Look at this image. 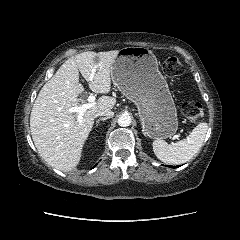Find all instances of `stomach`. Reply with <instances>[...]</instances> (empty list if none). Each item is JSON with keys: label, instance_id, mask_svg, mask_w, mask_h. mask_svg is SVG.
Here are the masks:
<instances>
[{"label": "stomach", "instance_id": "obj_1", "mask_svg": "<svg viewBox=\"0 0 240 240\" xmlns=\"http://www.w3.org/2000/svg\"><path fill=\"white\" fill-rule=\"evenodd\" d=\"M111 79L122 94L136 104L145 135L163 139L176 133V107L151 50L122 48L112 64Z\"/></svg>", "mask_w": 240, "mask_h": 240}]
</instances>
